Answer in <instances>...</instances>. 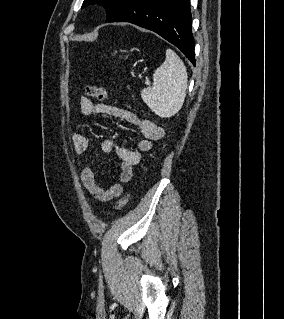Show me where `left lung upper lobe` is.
<instances>
[{
  "mask_svg": "<svg viewBox=\"0 0 284 319\" xmlns=\"http://www.w3.org/2000/svg\"><path fill=\"white\" fill-rule=\"evenodd\" d=\"M126 1L127 0H84L82 4V8L94 3H99L106 8L107 10L106 20H109L121 9V7Z\"/></svg>",
  "mask_w": 284,
  "mask_h": 319,
  "instance_id": "1",
  "label": "left lung upper lobe"
}]
</instances>
